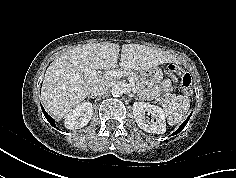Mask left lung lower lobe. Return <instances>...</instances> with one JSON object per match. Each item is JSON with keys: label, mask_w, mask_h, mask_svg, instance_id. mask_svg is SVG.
<instances>
[{"label": "left lung lower lobe", "mask_w": 236, "mask_h": 178, "mask_svg": "<svg viewBox=\"0 0 236 178\" xmlns=\"http://www.w3.org/2000/svg\"><path fill=\"white\" fill-rule=\"evenodd\" d=\"M191 114H190V116H191ZM190 116L182 123V125L172 135L178 134L185 127V125L187 124Z\"/></svg>", "instance_id": "obj_1"}]
</instances>
